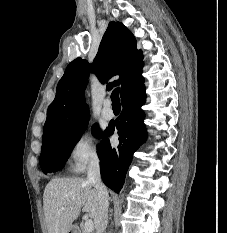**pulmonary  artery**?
<instances>
[{
    "label": "pulmonary artery",
    "mask_w": 227,
    "mask_h": 233,
    "mask_svg": "<svg viewBox=\"0 0 227 233\" xmlns=\"http://www.w3.org/2000/svg\"><path fill=\"white\" fill-rule=\"evenodd\" d=\"M101 114H102V117L106 120H111L114 117V112L111 108L110 100L106 99L104 101V106H103Z\"/></svg>",
    "instance_id": "e3ab8cb5"
}]
</instances>
